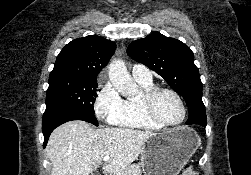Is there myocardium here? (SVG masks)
Returning <instances> with one entry per match:
<instances>
[{
	"label": "myocardium",
	"instance_id": "myocardium-1",
	"mask_svg": "<svg viewBox=\"0 0 251 175\" xmlns=\"http://www.w3.org/2000/svg\"><path fill=\"white\" fill-rule=\"evenodd\" d=\"M171 92L173 93L177 99L179 100L182 109H183V118L182 120L176 124V125H169L164 123L156 114L154 110V100L157 97V95L161 92ZM140 107L144 114L153 122L155 123L158 127L163 128V129H178L183 127L188 120V107L185 103V100L183 98V95L176 89L167 87V86H157V87H152L151 89L148 90H143L141 93V97L139 100Z\"/></svg>",
	"mask_w": 251,
	"mask_h": 175
}]
</instances>
